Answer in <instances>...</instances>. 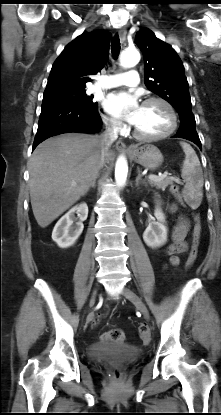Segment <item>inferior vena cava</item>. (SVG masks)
Returning <instances> with one entry per match:
<instances>
[{
  "label": "inferior vena cava",
  "instance_id": "inferior-vena-cava-1",
  "mask_svg": "<svg viewBox=\"0 0 221 415\" xmlns=\"http://www.w3.org/2000/svg\"><path fill=\"white\" fill-rule=\"evenodd\" d=\"M118 138V124L116 122L106 123V130L100 136L102 159L100 167H103L104 157L108 153L113 142Z\"/></svg>",
  "mask_w": 221,
  "mask_h": 415
}]
</instances>
